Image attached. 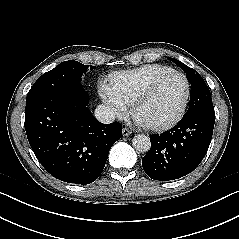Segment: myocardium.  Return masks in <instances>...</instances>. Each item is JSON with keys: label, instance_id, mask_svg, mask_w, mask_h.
<instances>
[{"label": "myocardium", "instance_id": "obj_1", "mask_svg": "<svg viewBox=\"0 0 239 239\" xmlns=\"http://www.w3.org/2000/svg\"><path fill=\"white\" fill-rule=\"evenodd\" d=\"M173 75L180 76L184 80V84H185V95L178 112L171 119L164 122H159V123L140 122L137 119V113L140 106L149 98V96L154 92V90L163 80ZM190 95H191V85L189 83L187 76L180 71L170 70L168 72H165L157 76L150 84H148L142 91L139 92V94L137 95V97L132 103L131 115L134 118V120L145 129L152 130V131L168 130L174 127L175 125H177L184 117L189 104Z\"/></svg>", "mask_w": 239, "mask_h": 239}]
</instances>
